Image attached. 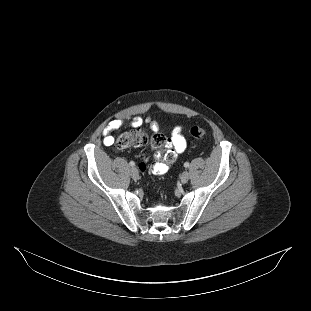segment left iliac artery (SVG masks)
Wrapping results in <instances>:
<instances>
[{"instance_id":"1","label":"left iliac artery","mask_w":311,"mask_h":311,"mask_svg":"<svg viewBox=\"0 0 311 311\" xmlns=\"http://www.w3.org/2000/svg\"><path fill=\"white\" fill-rule=\"evenodd\" d=\"M184 167H186V168L189 167V163H188V162H185V163H184Z\"/></svg>"}]
</instances>
